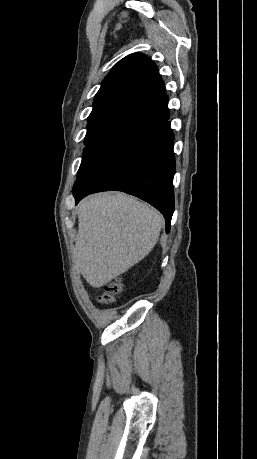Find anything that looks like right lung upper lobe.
Returning <instances> with one entry per match:
<instances>
[{
	"label": "right lung upper lobe",
	"instance_id": "cb5924a9",
	"mask_svg": "<svg viewBox=\"0 0 257 459\" xmlns=\"http://www.w3.org/2000/svg\"><path fill=\"white\" fill-rule=\"evenodd\" d=\"M165 96L157 66L141 53L120 60L108 73L97 92L91 113L126 109L135 113Z\"/></svg>",
	"mask_w": 257,
	"mask_h": 459
}]
</instances>
